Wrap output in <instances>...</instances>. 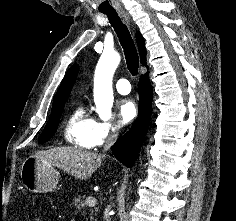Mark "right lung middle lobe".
I'll return each instance as SVG.
<instances>
[{"mask_svg": "<svg viewBox=\"0 0 236 221\" xmlns=\"http://www.w3.org/2000/svg\"><path fill=\"white\" fill-rule=\"evenodd\" d=\"M65 103L56 105L52 108L50 119L44 128L42 134L38 138V143H45L48 139H50L57 130L58 123L60 122V116L63 112Z\"/></svg>", "mask_w": 236, "mask_h": 221, "instance_id": "right-lung-middle-lobe-1", "label": "right lung middle lobe"}]
</instances>
